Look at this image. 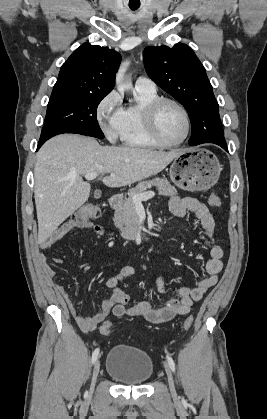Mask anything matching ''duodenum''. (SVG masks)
I'll use <instances>...</instances> for the list:
<instances>
[{
  "mask_svg": "<svg viewBox=\"0 0 267 419\" xmlns=\"http://www.w3.org/2000/svg\"><path fill=\"white\" fill-rule=\"evenodd\" d=\"M122 202H123V197L121 195H114L109 199V206L112 209H116L122 204ZM152 237H153V234L148 232L136 238L135 241L139 243H148L151 241Z\"/></svg>",
  "mask_w": 267,
  "mask_h": 419,
  "instance_id": "1",
  "label": "duodenum"
}]
</instances>
